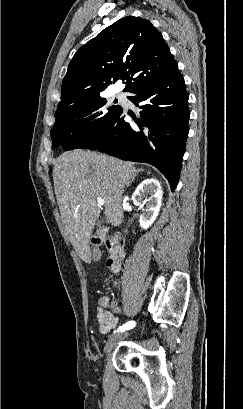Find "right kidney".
<instances>
[{"mask_svg": "<svg viewBox=\"0 0 243 409\" xmlns=\"http://www.w3.org/2000/svg\"><path fill=\"white\" fill-rule=\"evenodd\" d=\"M162 195L161 185L159 181L154 178L142 181L136 188L132 195L134 205L140 208L147 205L146 209H143V214L140 216L139 223L141 228H149L156 220L162 204Z\"/></svg>", "mask_w": 243, "mask_h": 409, "instance_id": "obj_1", "label": "right kidney"}]
</instances>
